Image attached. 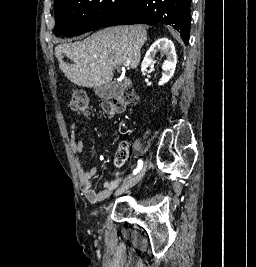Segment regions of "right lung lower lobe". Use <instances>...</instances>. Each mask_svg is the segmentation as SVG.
<instances>
[{"label":"right lung lower lobe","mask_w":256,"mask_h":267,"mask_svg":"<svg viewBox=\"0 0 256 267\" xmlns=\"http://www.w3.org/2000/svg\"><path fill=\"white\" fill-rule=\"evenodd\" d=\"M192 0H134L118 17L102 28L123 24L171 25L180 32L184 43L189 41Z\"/></svg>","instance_id":"98d812e1"}]
</instances>
